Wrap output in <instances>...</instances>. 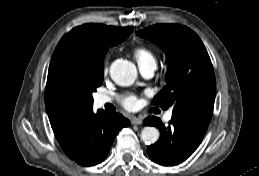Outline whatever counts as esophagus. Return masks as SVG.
<instances>
[{"mask_svg":"<svg viewBox=\"0 0 259 176\" xmlns=\"http://www.w3.org/2000/svg\"><path fill=\"white\" fill-rule=\"evenodd\" d=\"M131 124L140 125V124H142V119L140 117H132Z\"/></svg>","mask_w":259,"mask_h":176,"instance_id":"34e87169","label":"esophagus"}]
</instances>
